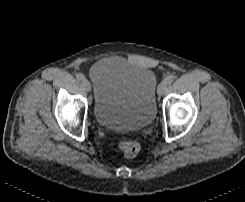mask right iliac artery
Here are the masks:
<instances>
[{"label":"right iliac artery","mask_w":245,"mask_h":202,"mask_svg":"<svg viewBox=\"0 0 245 202\" xmlns=\"http://www.w3.org/2000/svg\"><path fill=\"white\" fill-rule=\"evenodd\" d=\"M76 78H77V80L81 81V80H83L85 77H84L82 74H77V75H76Z\"/></svg>","instance_id":"right-iliac-artery-1"}]
</instances>
